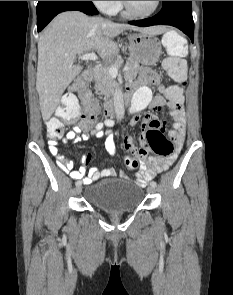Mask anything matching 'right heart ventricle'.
Instances as JSON below:
<instances>
[{"label":"right heart ventricle","mask_w":233,"mask_h":295,"mask_svg":"<svg viewBox=\"0 0 233 295\" xmlns=\"http://www.w3.org/2000/svg\"><path fill=\"white\" fill-rule=\"evenodd\" d=\"M113 13H120L121 15L125 16L127 13L123 10V6L121 1H118L117 6Z\"/></svg>","instance_id":"obj_1"}]
</instances>
